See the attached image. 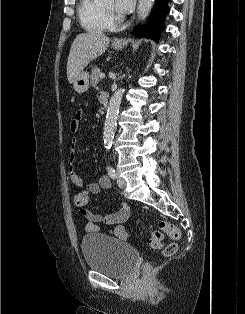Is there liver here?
Listing matches in <instances>:
<instances>
[{
	"label": "liver",
	"mask_w": 245,
	"mask_h": 314,
	"mask_svg": "<svg viewBox=\"0 0 245 314\" xmlns=\"http://www.w3.org/2000/svg\"><path fill=\"white\" fill-rule=\"evenodd\" d=\"M110 38L98 32L81 33L74 39L67 61V78L73 83L81 71L107 49Z\"/></svg>",
	"instance_id": "1"
}]
</instances>
